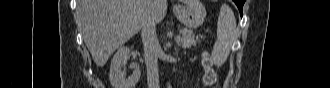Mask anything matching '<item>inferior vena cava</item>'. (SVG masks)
Returning a JSON list of instances; mask_svg holds the SVG:
<instances>
[{
	"mask_svg": "<svg viewBox=\"0 0 330 88\" xmlns=\"http://www.w3.org/2000/svg\"><path fill=\"white\" fill-rule=\"evenodd\" d=\"M141 37L144 46L145 64L147 67L148 88H159L158 54L160 45L156 35V23L147 18L142 22Z\"/></svg>",
	"mask_w": 330,
	"mask_h": 88,
	"instance_id": "1",
	"label": "inferior vena cava"
}]
</instances>
